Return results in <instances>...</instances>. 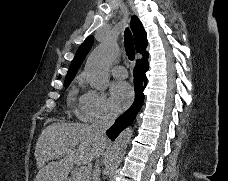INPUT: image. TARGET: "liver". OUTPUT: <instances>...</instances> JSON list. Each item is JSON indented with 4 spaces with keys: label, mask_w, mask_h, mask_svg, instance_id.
Instances as JSON below:
<instances>
[{
    "label": "liver",
    "mask_w": 228,
    "mask_h": 181,
    "mask_svg": "<svg viewBox=\"0 0 228 181\" xmlns=\"http://www.w3.org/2000/svg\"><path fill=\"white\" fill-rule=\"evenodd\" d=\"M107 145L106 137L94 133L92 125L52 123L36 143L38 173L34 181H67L74 165H88L104 153Z\"/></svg>",
    "instance_id": "obj_1"
}]
</instances>
